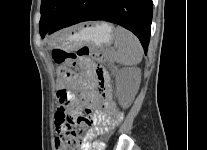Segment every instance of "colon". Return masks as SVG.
Masks as SVG:
<instances>
[{"mask_svg": "<svg viewBox=\"0 0 207 150\" xmlns=\"http://www.w3.org/2000/svg\"><path fill=\"white\" fill-rule=\"evenodd\" d=\"M92 55L96 59L102 60V55L92 53L87 47L80 48L77 52H68L61 48L52 51V58L59 68V76L65 86L58 87V104L55 106V117H52L57 127L55 132H59L56 138V150H79L88 137L86 130L91 127L93 119L88 109H84L77 119V125H73L70 111L77 107V100L73 99L74 77H69V69L76 65L79 58Z\"/></svg>", "mask_w": 207, "mask_h": 150, "instance_id": "5ec220e1", "label": "colon"}]
</instances>
